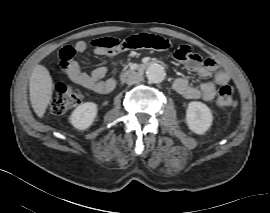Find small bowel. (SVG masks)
Here are the masks:
<instances>
[{
  "instance_id": "c3829d8e",
  "label": "small bowel",
  "mask_w": 270,
  "mask_h": 213,
  "mask_svg": "<svg viewBox=\"0 0 270 213\" xmlns=\"http://www.w3.org/2000/svg\"><path fill=\"white\" fill-rule=\"evenodd\" d=\"M87 48H93L94 53L99 57L113 58L127 49L123 46L122 40L113 37H97L89 42L79 41L75 45H66L59 51L61 61H68L69 67L65 69L67 76L77 84L97 93L106 94L111 92L116 85L112 78L106 79V69L96 67L90 73L81 70L76 54L83 53ZM170 49L175 51V45ZM191 49L183 60L185 67L196 73L203 80L199 86H193L184 77H179L174 82V89L177 93L188 99L203 98L212 100L220 86L227 85L231 81L230 74L219 68L214 59H209L206 63H197L191 59ZM209 78H211L209 80Z\"/></svg>"
}]
</instances>
